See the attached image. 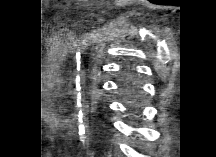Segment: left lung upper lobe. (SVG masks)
I'll list each match as a JSON object with an SVG mask.
<instances>
[{
    "instance_id": "left-lung-upper-lobe-1",
    "label": "left lung upper lobe",
    "mask_w": 216,
    "mask_h": 157,
    "mask_svg": "<svg viewBox=\"0 0 216 157\" xmlns=\"http://www.w3.org/2000/svg\"><path fill=\"white\" fill-rule=\"evenodd\" d=\"M124 81L131 87H135L136 88V92H135V96L139 95V90L137 88L136 83L131 79V78H125Z\"/></svg>"
}]
</instances>
